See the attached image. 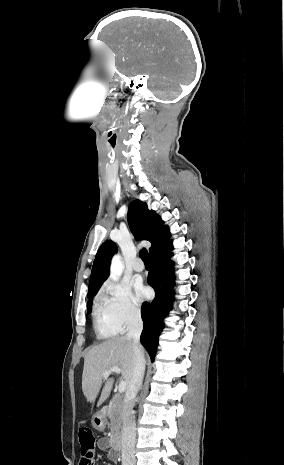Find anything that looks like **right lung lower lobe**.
<instances>
[{
  "instance_id": "obj_1",
  "label": "right lung lower lobe",
  "mask_w": 284,
  "mask_h": 465,
  "mask_svg": "<svg viewBox=\"0 0 284 465\" xmlns=\"http://www.w3.org/2000/svg\"><path fill=\"white\" fill-rule=\"evenodd\" d=\"M173 249L171 240L161 249L150 255L151 271L148 274V284L155 290V298L151 303L144 302L141 316L144 328L141 334V343L149 353L153 361L158 337L164 328L163 319L171 309L173 301L174 270L170 260Z\"/></svg>"
}]
</instances>
